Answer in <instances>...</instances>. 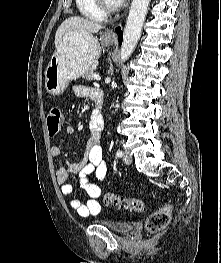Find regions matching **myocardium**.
I'll return each mask as SVG.
<instances>
[{"instance_id":"myocardium-1","label":"myocardium","mask_w":221,"mask_h":263,"mask_svg":"<svg viewBox=\"0 0 221 263\" xmlns=\"http://www.w3.org/2000/svg\"><path fill=\"white\" fill-rule=\"evenodd\" d=\"M96 6L105 14L114 13L118 10L119 5L109 4L106 0H94Z\"/></svg>"}]
</instances>
